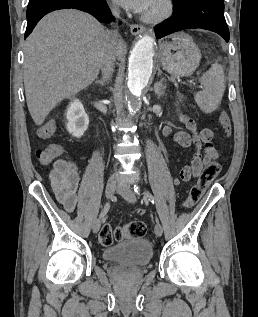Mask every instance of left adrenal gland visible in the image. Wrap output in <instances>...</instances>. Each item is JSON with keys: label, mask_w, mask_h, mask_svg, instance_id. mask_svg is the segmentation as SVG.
<instances>
[{"label": "left adrenal gland", "mask_w": 258, "mask_h": 317, "mask_svg": "<svg viewBox=\"0 0 258 317\" xmlns=\"http://www.w3.org/2000/svg\"><path fill=\"white\" fill-rule=\"evenodd\" d=\"M163 80L164 78H161V80H158V82H155L154 84L153 90L155 94H157L158 98H160V96H162L165 92L164 88H166V84H163Z\"/></svg>", "instance_id": "left-adrenal-gland-1"}]
</instances>
